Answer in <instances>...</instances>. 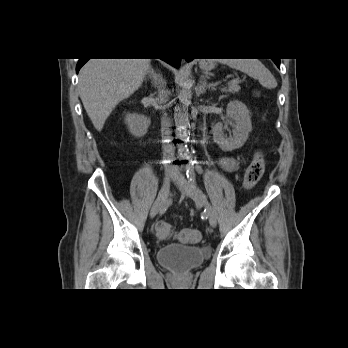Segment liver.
Segmentation results:
<instances>
[{"label":"liver","mask_w":348,"mask_h":348,"mask_svg":"<svg viewBox=\"0 0 348 348\" xmlns=\"http://www.w3.org/2000/svg\"><path fill=\"white\" fill-rule=\"evenodd\" d=\"M151 59H90L79 73V94L96 130L103 129L116 105L133 94Z\"/></svg>","instance_id":"1"}]
</instances>
